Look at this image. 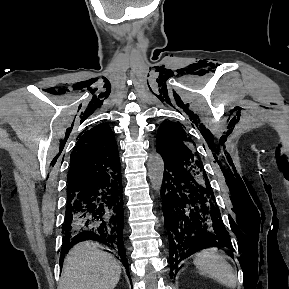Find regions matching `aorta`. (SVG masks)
Instances as JSON below:
<instances>
[{
    "label": "aorta",
    "mask_w": 289,
    "mask_h": 289,
    "mask_svg": "<svg viewBox=\"0 0 289 289\" xmlns=\"http://www.w3.org/2000/svg\"><path fill=\"white\" fill-rule=\"evenodd\" d=\"M147 167L152 188L156 192H159L161 189L164 173V161L162 157L157 153L150 154Z\"/></svg>",
    "instance_id": "762f6f07"
}]
</instances>
